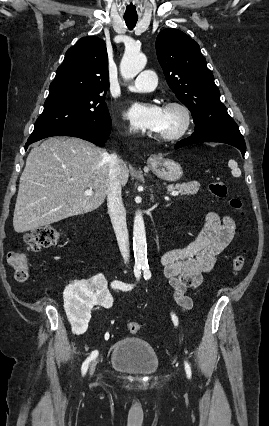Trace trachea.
Returning a JSON list of instances; mask_svg holds the SVG:
<instances>
[{"label":"trachea","mask_w":269,"mask_h":426,"mask_svg":"<svg viewBox=\"0 0 269 426\" xmlns=\"http://www.w3.org/2000/svg\"><path fill=\"white\" fill-rule=\"evenodd\" d=\"M124 20H125V23H126V25H127V27L130 29V30H132L134 27H135V25H136V23H137V20H138V18H124Z\"/></svg>","instance_id":"1"}]
</instances>
